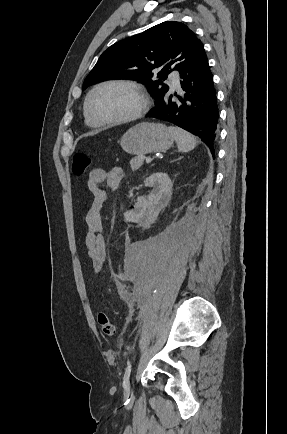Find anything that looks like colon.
Returning a JSON list of instances; mask_svg holds the SVG:
<instances>
[{
    "label": "colon",
    "instance_id": "obj_1",
    "mask_svg": "<svg viewBox=\"0 0 287 434\" xmlns=\"http://www.w3.org/2000/svg\"><path fill=\"white\" fill-rule=\"evenodd\" d=\"M89 166L90 157L86 152H78L73 156L72 171L76 176L84 175ZM98 323L103 335L111 337L115 334V325L106 313L98 314Z\"/></svg>",
    "mask_w": 287,
    "mask_h": 434
}]
</instances>
